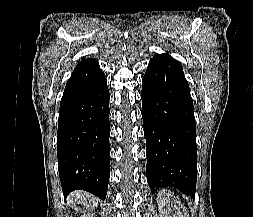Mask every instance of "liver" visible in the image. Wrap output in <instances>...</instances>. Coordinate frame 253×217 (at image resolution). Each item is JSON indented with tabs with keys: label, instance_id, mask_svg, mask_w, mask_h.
<instances>
[{
	"label": "liver",
	"instance_id": "liver-1",
	"mask_svg": "<svg viewBox=\"0 0 253 217\" xmlns=\"http://www.w3.org/2000/svg\"><path fill=\"white\" fill-rule=\"evenodd\" d=\"M69 201L71 203L76 202L77 204L82 205V212L84 213L83 217H92L91 214H86L92 208L97 206L98 199L95 196H92L83 191H75L69 196Z\"/></svg>",
	"mask_w": 253,
	"mask_h": 217
}]
</instances>
